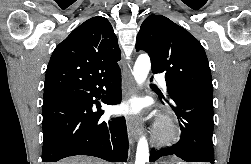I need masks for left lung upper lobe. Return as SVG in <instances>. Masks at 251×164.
Wrapping results in <instances>:
<instances>
[{
  "instance_id": "left-lung-upper-lobe-1",
  "label": "left lung upper lobe",
  "mask_w": 251,
  "mask_h": 164,
  "mask_svg": "<svg viewBox=\"0 0 251 164\" xmlns=\"http://www.w3.org/2000/svg\"><path fill=\"white\" fill-rule=\"evenodd\" d=\"M136 50L148 53L153 73H165L169 95L188 92L213 98L211 72L202 45L167 17L152 14L144 20Z\"/></svg>"
}]
</instances>
